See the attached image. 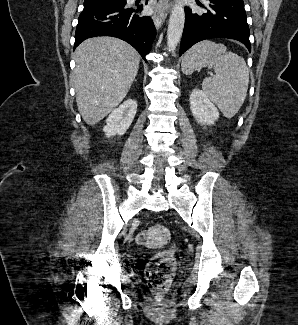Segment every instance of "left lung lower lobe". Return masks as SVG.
<instances>
[{
	"label": "left lung lower lobe",
	"instance_id": "obj_1",
	"mask_svg": "<svg viewBox=\"0 0 298 325\" xmlns=\"http://www.w3.org/2000/svg\"><path fill=\"white\" fill-rule=\"evenodd\" d=\"M199 5L207 12L197 14L189 7H185L180 56L195 43L211 38L235 39L245 44L249 52L251 51L250 31L243 0H208L206 7Z\"/></svg>",
	"mask_w": 298,
	"mask_h": 325
}]
</instances>
